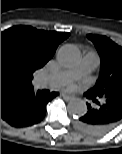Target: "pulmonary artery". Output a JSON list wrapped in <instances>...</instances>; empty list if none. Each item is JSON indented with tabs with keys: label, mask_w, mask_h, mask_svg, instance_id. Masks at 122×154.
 Here are the masks:
<instances>
[{
	"label": "pulmonary artery",
	"mask_w": 122,
	"mask_h": 154,
	"mask_svg": "<svg viewBox=\"0 0 122 154\" xmlns=\"http://www.w3.org/2000/svg\"><path fill=\"white\" fill-rule=\"evenodd\" d=\"M100 63L98 54L94 51L84 53L81 61L69 70L45 75L38 79L39 88H59L73 79H79L90 74Z\"/></svg>",
	"instance_id": "e3ab8cb5"
}]
</instances>
